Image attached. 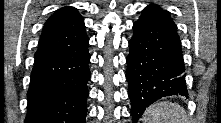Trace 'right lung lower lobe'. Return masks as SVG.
Masks as SVG:
<instances>
[{
    "instance_id": "1",
    "label": "right lung lower lobe",
    "mask_w": 221,
    "mask_h": 123,
    "mask_svg": "<svg viewBox=\"0 0 221 123\" xmlns=\"http://www.w3.org/2000/svg\"><path fill=\"white\" fill-rule=\"evenodd\" d=\"M88 45L85 31L60 43L39 45L27 93L26 123H86Z\"/></svg>"
}]
</instances>
